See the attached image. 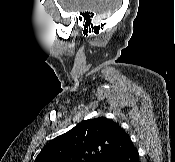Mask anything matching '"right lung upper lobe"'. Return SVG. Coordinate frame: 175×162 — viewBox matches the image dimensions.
Instances as JSON below:
<instances>
[{
	"label": "right lung upper lobe",
	"instance_id": "1",
	"mask_svg": "<svg viewBox=\"0 0 175 162\" xmlns=\"http://www.w3.org/2000/svg\"><path fill=\"white\" fill-rule=\"evenodd\" d=\"M132 147L129 135L118 123L99 117L51 140L35 162H112Z\"/></svg>",
	"mask_w": 175,
	"mask_h": 162
}]
</instances>
